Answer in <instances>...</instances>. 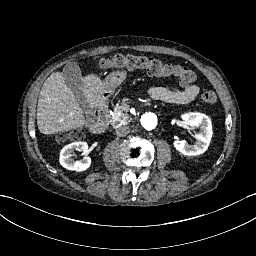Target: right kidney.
I'll return each instance as SVG.
<instances>
[{
    "label": "right kidney",
    "instance_id": "ca27d5eb",
    "mask_svg": "<svg viewBox=\"0 0 256 256\" xmlns=\"http://www.w3.org/2000/svg\"><path fill=\"white\" fill-rule=\"evenodd\" d=\"M88 144L84 141L74 142L63 147L60 152V164L68 170H74L76 172H84L91 166V159L85 157L81 160L74 161L72 159L73 151H81L84 155L89 154Z\"/></svg>",
    "mask_w": 256,
    "mask_h": 256
}]
</instances>
